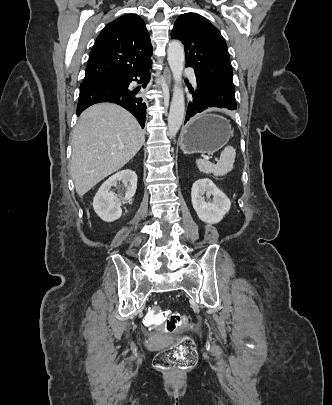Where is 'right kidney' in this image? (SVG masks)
I'll list each match as a JSON object with an SVG mask.
<instances>
[{"mask_svg": "<svg viewBox=\"0 0 332 405\" xmlns=\"http://www.w3.org/2000/svg\"><path fill=\"white\" fill-rule=\"evenodd\" d=\"M121 181L125 186L124 196L115 195L111 187H115ZM137 189V175L132 170H122L108 178L99 188L93 200L95 213L105 222H113L122 215L121 205L123 201L130 200Z\"/></svg>", "mask_w": 332, "mask_h": 405, "instance_id": "1", "label": "right kidney"}]
</instances>
